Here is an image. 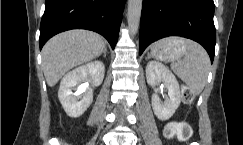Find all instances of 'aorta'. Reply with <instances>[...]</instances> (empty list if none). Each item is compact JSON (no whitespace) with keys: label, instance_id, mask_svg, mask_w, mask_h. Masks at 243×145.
Returning <instances> with one entry per match:
<instances>
[{"label":"aorta","instance_id":"1","mask_svg":"<svg viewBox=\"0 0 243 145\" xmlns=\"http://www.w3.org/2000/svg\"><path fill=\"white\" fill-rule=\"evenodd\" d=\"M142 10V0H128L127 22L131 34L138 31Z\"/></svg>","mask_w":243,"mask_h":145}]
</instances>
